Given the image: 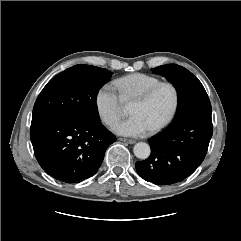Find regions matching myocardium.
I'll return each instance as SVG.
<instances>
[{
  "label": "myocardium",
  "mask_w": 241,
  "mask_h": 241,
  "mask_svg": "<svg viewBox=\"0 0 241 241\" xmlns=\"http://www.w3.org/2000/svg\"><path fill=\"white\" fill-rule=\"evenodd\" d=\"M163 87H168L171 89V91L173 93V105H172V108H171L169 114L167 115V117L161 123H159L158 125H156L155 127L150 129L151 133H158V132L162 131L175 118L178 108H179V104H180V93H179L177 86L172 82L161 81V82L155 84L154 86H152L151 88H149L148 90H146L141 95L137 96L133 100V102H136V103H146Z\"/></svg>",
  "instance_id": "f54148a6"
}]
</instances>
